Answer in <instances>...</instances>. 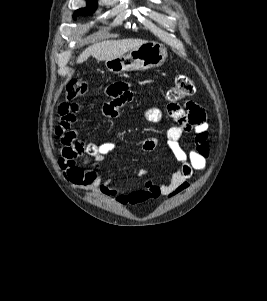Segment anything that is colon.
<instances>
[{"instance_id":"colon-1","label":"colon","mask_w":267,"mask_h":301,"mask_svg":"<svg viewBox=\"0 0 267 301\" xmlns=\"http://www.w3.org/2000/svg\"><path fill=\"white\" fill-rule=\"evenodd\" d=\"M88 91V84L83 80H72L66 86L65 97L68 101L84 95ZM195 92L193 80L186 75H180L175 79L173 87L167 92L166 98L170 103L183 100Z\"/></svg>"}]
</instances>
